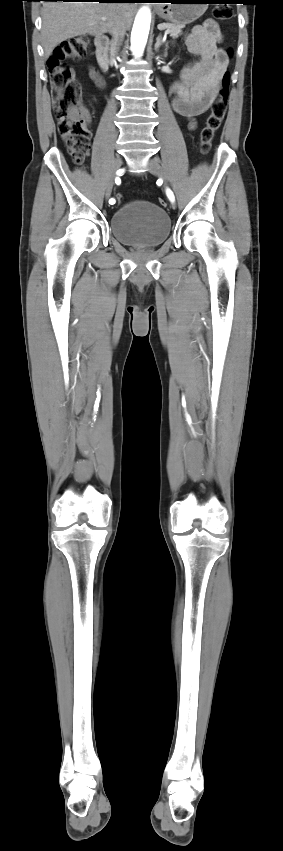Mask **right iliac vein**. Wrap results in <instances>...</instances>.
Instances as JSON below:
<instances>
[{"instance_id":"obj_1","label":"right iliac vein","mask_w":283,"mask_h":851,"mask_svg":"<svg viewBox=\"0 0 283 851\" xmlns=\"http://www.w3.org/2000/svg\"><path fill=\"white\" fill-rule=\"evenodd\" d=\"M121 166H122V159H121L120 156H117L116 159H115V162H114V168H112V170H111V178L108 181V184L106 186V191H105L106 199H108L111 195L112 188H113V185H114V178L117 177V174H118L117 170L120 169Z\"/></svg>"}]
</instances>
